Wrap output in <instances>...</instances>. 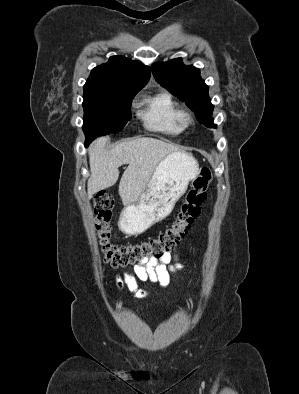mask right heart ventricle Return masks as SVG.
I'll return each instance as SVG.
<instances>
[{
    "label": "right heart ventricle",
    "instance_id": "right-heart-ventricle-1",
    "mask_svg": "<svg viewBox=\"0 0 299 394\" xmlns=\"http://www.w3.org/2000/svg\"><path fill=\"white\" fill-rule=\"evenodd\" d=\"M184 114L181 105L164 91L145 96L138 113L149 130L166 135H179L185 130Z\"/></svg>",
    "mask_w": 299,
    "mask_h": 394
}]
</instances>
